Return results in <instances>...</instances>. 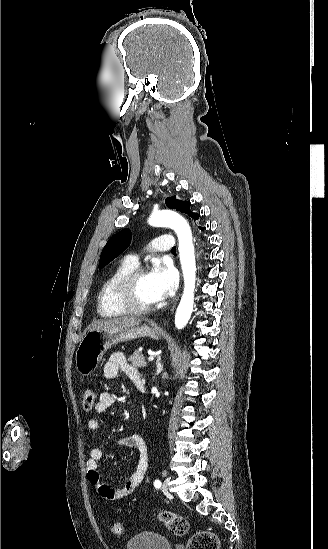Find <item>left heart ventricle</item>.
<instances>
[{
	"label": "left heart ventricle",
	"instance_id": "left-heart-ventricle-1",
	"mask_svg": "<svg viewBox=\"0 0 328 549\" xmlns=\"http://www.w3.org/2000/svg\"><path fill=\"white\" fill-rule=\"evenodd\" d=\"M158 266V265H156ZM153 266V269L156 267ZM133 296L142 303H154L157 300L153 296L151 283H150V274H145L141 276L133 286Z\"/></svg>",
	"mask_w": 328,
	"mask_h": 549
}]
</instances>
